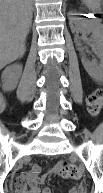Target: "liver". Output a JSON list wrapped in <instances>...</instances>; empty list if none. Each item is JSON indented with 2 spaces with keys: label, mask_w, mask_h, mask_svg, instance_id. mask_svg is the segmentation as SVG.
<instances>
[{
  "label": "liver",
  "mask_w": 103,
  "mask_h": 193,
  "mask_svg": "<svg viewBox=\"0 0 103 193\" xmlns=\"http://www.w3.org/2000/svg\"><path fill=\"white\" fill-rule=\"evenodd\" d=\"M0 67L21 58L25 51V39L32 21L31 0L0 1Z\"/></svg>",
  "instance_id": "6515ba94"
}]
</instances>
